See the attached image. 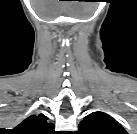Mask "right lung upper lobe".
Returning a JSON list of instances; mask_svg holds the SVG:
<instances>
[{"instance_id":"cb5924a9","label":"right lung upper lobe","mask_w":137,"mask_h":134,"mask_svg":"<svg viewBox=\"0 0 137 134\" xmlns=\"http://www.w3.org/2000/svg\"><path fill=\"white\" fill-rule=\"evenodd\" d=\"M14 131L17 134H54V124L44 114L31 115L21 122Z\"/></svg>"}]
</instances>
